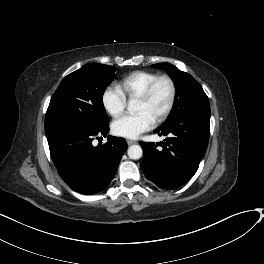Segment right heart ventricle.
<instances>
[{
	"mask_svg": "<svg viewBox=\"0 0 264 264\" xmlns=\"http://www.w3.org/2000/svg\"><path fill=\"white\" fill-rule=\"evenodd\" d=\"M157 76V73L151 71H134L120 81L119 88L126 97L134 99L137 98Z\"/></svg>",
	"mask_w": 264,
	"mask_h": 264,
	"instance_id": "obj_1",
	"label": "right heart ventricle"
}]
</instances>
